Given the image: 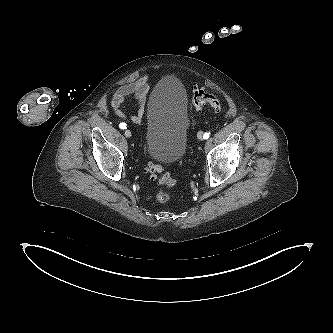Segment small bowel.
<instances>
[{
	"label": "small bowel",
	"instance_id": "obj_1",
	"mask_svg": "<svg viewBox=\"0 0 333 333\" xmlns=\"http://www.w3.org/2000/svg\"><path fill=\"white\" fill-rule=\"evenodd\" d=\"M149 91L148 77L143 76L138 80L124 85L116 90L112 96L111 106L118 117L127 119L128 117L136 124H140L143 120L145 113V104ZM128 98H133L137 104L138 109L136 113L128 114L122 109V105Z\"/></svg>",
	"mask_w": 333,
	"mask_h": 333
}]
</instances>
